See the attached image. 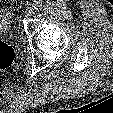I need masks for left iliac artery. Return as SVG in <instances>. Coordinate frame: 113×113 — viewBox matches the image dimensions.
I'll list each match as a JSON object with an SVG mask.
<instances>
[{
	"label": "left iliac artery",
	"mask_w": 113,
	"mask_h": 113,
	"mask_svg": "<svg viewBox=\"0 0 113 113\" xmlns=\"http://www.w3.org/2000/svg\"><path fill=\"white\" fill-rule=\"evenodd\" d=\"M41 6H42L41 0H36V1H34V3H33V8H34L35 10H38Z\"/></svg>",
	"instance_id": "left-iliac-artery-1"
}]
</instances>
